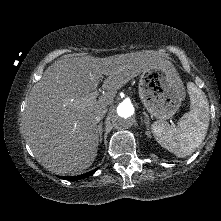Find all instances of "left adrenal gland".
Instances as JSON below:
<instances>
[{
    "mask_svg": "<svg viewBox=\"0 0 221 221\" xmlns=\"http://www.w3.org/2000/svg\"><path fill=\"white\" fill-rule=\"evenodd\" d=\"M143 115L145 117L144 123H145L146 128H147L146 135L149 137L150 136V118H149L148 114L145 111H143Z\"/></svg>",
    "mask_w": 221,
    "mask_h": 221,
    "instance_id": "left-adrenal-gland-1",
    "label": "left adrenal gland"
}]
</instances>
